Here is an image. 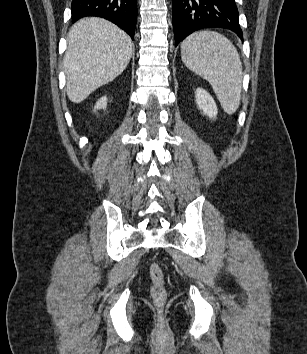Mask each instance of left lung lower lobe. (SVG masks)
Returning <instances> with one entry per match:
<instances>
[{
	"mask_svg": "<svg viewBox=\"0 0 307 354\" xmlns=\"http://www.w3.org/2000/svg\"><path fill=\"white\" fill-rule=\"evenodd\" d=\"M175 43L204 28H225L242 38L234 0H172Z\"/></svg>",
	"mask_w": 307,
	"mask_h": 354,
	"instance_id": "0a47b994",
	"label": "left lung lower lobe"
}]
</instances>
